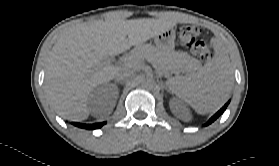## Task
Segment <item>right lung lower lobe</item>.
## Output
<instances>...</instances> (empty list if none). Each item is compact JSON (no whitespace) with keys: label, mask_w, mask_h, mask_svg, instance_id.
I'll return each instance as SVG.
<instances>
[{"label":"right lung lower lobe","mask_w":279,"mask_h":166,"mask_svg":"<svg viewBox=\"0 0 279 166\" xmlns=\"http://www.w3.org/2000/svg\"><path fill=\"white\" fill-rule=\"evenodd\" d=\"M75 126L80 127V128H85V129H96V128H100L101 126H103L105 124V122L103 123H96V124H81V123H73Z\"/></svg>","instance_id":"1"}]
</instances>
